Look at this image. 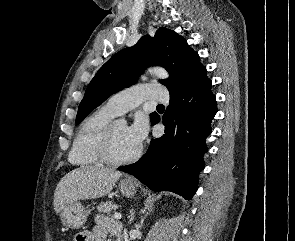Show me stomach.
Here are the masks:
<instances>
[{"label":"stomach","instance_id":"1","mask_svg":"<svg viewBox=\"0 0 295 241\" xmlns=\"http://www.w3.org/2000/svg\"><path fill=\"white\" fill-rule=\"evenodd\" d=\"M137 186L138 184L134 180H122L119 183L121 193L129 198L136 194ZM87 217L86 208L78 202L67 205L60 214L62 223L71 229L81 228L85 224Z\"/></svg>","mask_w":295,"mask_h":241}]
</instances>
